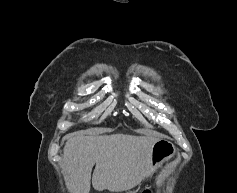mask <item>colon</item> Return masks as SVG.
I'll return each instance as SVG.
<instances>
[{"instance_id":"5ec220e1","label":"colon","mask_w":237,"mask_h":193,"mask_svg":"<svg viewBox=\"0 0 237 193\" xmlns=\"http://www.w3.org/2000/svg\"><path fill=\"white\" fill-rule=\"evenodd\" d=\"M142 193H151V191L149 189H145L142 191Z\"/></svg>"}]
</instances>
